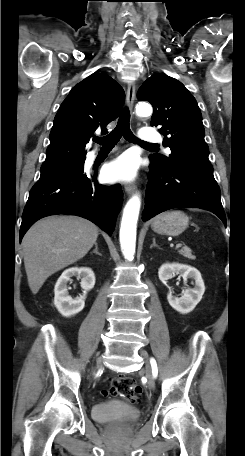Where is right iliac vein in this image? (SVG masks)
<instances>
[{
	"mask_svg": "<svg viewBox=\"0 0 245 456\" xmlns=\"http://www.w3.org/2000/svg\"><path fill=\"white\" fill-rule=\"evenodd\" d=\"M101 362H102L101 359H99V360L97 361V367H99V366L101 365Z\"/></svg>",
	"mask_w": 245,
	"mask_h": 456,
	"instance_id": "obj_1",
	"label": "right iliac vein"
}]
</instances>
